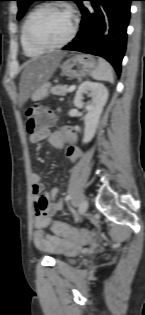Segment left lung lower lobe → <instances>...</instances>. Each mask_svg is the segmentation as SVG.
I'll use <instances>...</instances> for the list:
<instances>
[{
    "mask_svg": "<svg viewBox=\"0 0 145 315\" xmlns=\"http://www.w3.org/2000/svg\"><path fill=\"white\" fill-rule=\"evenodd\" d=\"M82 1L85 0L77 3L83 15L80 31L63 49L101 56L120 75L132 0H89L92 10L85 8Z\"/></svg>",
    "mask_w": 145,
    "mask_h": 315,
    "instance_id": "0a47b994",
    "label": "left lung lower lobe"
}]
</instances>
